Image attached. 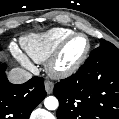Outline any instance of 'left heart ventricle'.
I'll list each match as a JSON object with an SVG mask.
<instances>
[{
	"instance_id": "left-heart-ventricle-1",
	"label": "left heart ventricle",
	"mask_w": 119,
	"mask_h": 119,
	"mask_svg": "<svg viewBox=\"0 0 119 119\" xmlns=\"http://www.w3.org/2000/svg\"><path fill=\"white\" fill-rule=\"evenodd\" d=\"M86 45V40L83 37L73 38L64 48L59 64L70 66L75 63L83 55Z\"/></svg>"
}]
</instances>
